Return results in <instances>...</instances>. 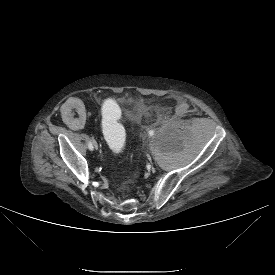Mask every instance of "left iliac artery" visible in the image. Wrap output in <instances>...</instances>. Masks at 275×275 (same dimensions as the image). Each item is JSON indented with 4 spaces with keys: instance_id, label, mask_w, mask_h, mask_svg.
Segmentation results:
<instances>
[{
    "instance_id": "1",
    "label": "left iliac artery",
    "mask_w": 275,
    "mask_h": 275,
    "mask_svg": "<svg viewBox=\"0 0 275 275\" xmlns=\"http://www.w3.org/2000/svg\"><path fill=\"white\" fill-rule=\"evenodd\" d=\"M149 135H150V136H153V135H154V131H153V130H150V131H149Z\"/></svg>"
}]
</instances>
